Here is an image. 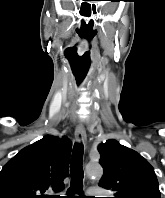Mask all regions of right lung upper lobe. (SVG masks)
Instances as JSON below:
<instances>
[{"label": "right lung upper lobe", "instance_id": "right-lung-upper-lobe-1", "mask_svg": "<svg viewBox=\"0 0 165 198\" xmlns=\"http://www.w3.org/2000/svg\"><path fill=\"white\" fill-rule=\"evenodd\" d=\"M71 142L47 135L22 149L0 172V198H45L59 192L68 174Z\"/></svg>", "mask_w": 165, "mask_h": 198}]
</instances>
